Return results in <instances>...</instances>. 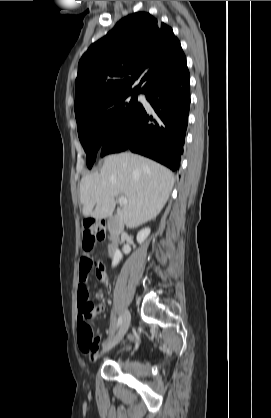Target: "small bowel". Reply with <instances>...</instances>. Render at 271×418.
<instances>
[{"label": "small bowel", "mask_w": 271, "mask_h": 418, "mask_svg": "<svg viewBox=\"0 0 271 418\" xmlns=\"http://www.w3.org/2000/svg\"><path fill=\"white\" fill-rule=\"evenodd\" d=\"M89 259L87 257H82L80 260L79 266V286L77 290V303H78V316L77 321L79 323H95L96 316L99 311L102 310V305H94L92 299H90V290L87 289L86 284L89 277V271L91 267L88 266ZM97 269H100L97 266ZM103 283L107 286V282L102 278ZM96 298L101 299L102 294L96 293ZM81 348V351L85 356L90 360H95L98 355V343L96 342L95 346L90 349Z\"/></svg>", "instance_id": "obj_1"}]
</instances>
